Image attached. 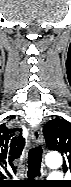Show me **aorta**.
Masks as SVG:
<instances>
[{
	"label": "aorta",
	"instance_id": "obj_1",
	"mask_svg": "<svg viewBox=\"0 0 71 187\" xmlns=\"http://www.w3.org/2000/svg\"><path fill=\"white\" fill-rule=\"evenodd\" d=\"M45 163L50 168H57L62 165V157L58 152L48 153L45 157Z\"/></svg>",
	"mask_w": 71,
	"mask_h": 187
}]
</instances>
